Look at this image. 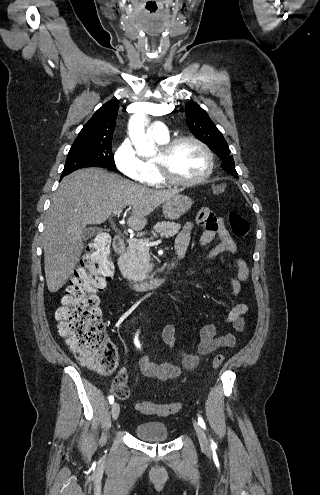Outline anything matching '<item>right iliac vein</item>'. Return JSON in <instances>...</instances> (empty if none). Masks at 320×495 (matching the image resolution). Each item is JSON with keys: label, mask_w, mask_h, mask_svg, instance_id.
<instances>
[{"label": "right iliac vein", "mask_w": 320, "mask_h": 495, "mask_svg": "<svg viewBox=\"0 0 320 495\" xmlns=\"http://www.w3.org/2000/svg\"><path fill=\"white\" fill-rule=\"evenodd\" d=\"M119 413H120V406L118 403L115 402L111 408V414L114 421L118 419Z\"/></svg>", "instance_id": "obj_1"}]
</instances>
